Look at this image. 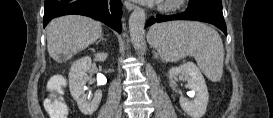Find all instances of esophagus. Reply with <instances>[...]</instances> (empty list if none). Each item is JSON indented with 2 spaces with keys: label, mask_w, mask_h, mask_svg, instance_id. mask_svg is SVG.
Here are the masks:
<instances>
[{
  "label": "esophagus",
  "mask_w": 273,
  "mask_h": 118,
  "mask_svg": "<svg viewBox=\"0 0 273 118\" xmlns=\"http://www.w3.org/2000/svg\"><path fill=\"white\" fill-rule=\"evenodd\" d=\"M124 6H125L129 11H131V10L137 8V6H136L134 3L130 2V1H124Z\"/></svg>",
  "instance_id": "esophagus-1"
}]
</instances>
